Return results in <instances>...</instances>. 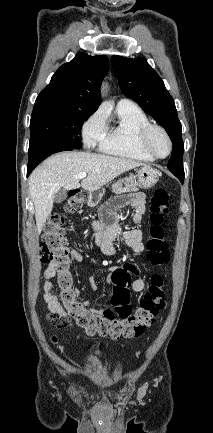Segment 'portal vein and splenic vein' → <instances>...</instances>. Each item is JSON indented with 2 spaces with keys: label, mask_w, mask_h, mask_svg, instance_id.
<instances>
[{
  "label": "portal vein and splenic vein",
  "mask_w": 213,
  "mask_h": 433,
  "mask_svg": "<svg viewBox=\"0 0 213 433\" xmlns=\"http://www.w3.org/2000/svg\"><path fill=\"white\" fill-rule=\"evenodd\" d=\"M86 175H87L86 172H81V173H79L76 177L79 178V179H83V178L86 177Z\"/></svg>",
  "instance_id": "18ae733b"
}]
</instances>
